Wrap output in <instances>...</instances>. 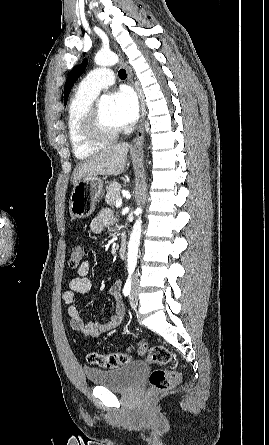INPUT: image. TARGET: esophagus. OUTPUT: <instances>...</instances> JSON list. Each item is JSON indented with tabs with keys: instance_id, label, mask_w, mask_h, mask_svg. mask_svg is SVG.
I'll return each instance as SVG.
<instances>
[{
	"instance_id": "34e87169",
	"label": "esophagus",
	"mask_w": 269,
	"mask_h": 445,
	"mask_svg": "<svg viewBox=\"0 0 269 445\" xmlns=\"http://www.w3.org/2000/svg\"><path fill=\"white\" fill-rule=\"evenodd\" d=\"M121 63L126 68L128 80L131 83V85L135 88L138 98H139V102H140V110H141L140 124H139V129L137 131L136 137L133 142V147L139 148L143 144V141H144V102H143V97H142L139 87L134 83V81L132 79L131 69L128 67L126 62L123 61V59H121Z\"/></svg>"
}]
</instances>
